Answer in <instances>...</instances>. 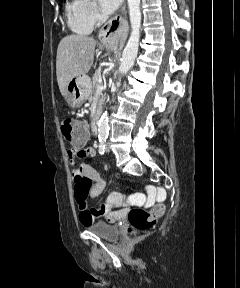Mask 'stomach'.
I'll return each mask as SVG.
<instances>
[{"mask_svg": "<svg viewBox=\"0 0 240 288\" xmlns=\"http://www.w3.org/2000/svg\"><path fill=\"white\" fill-rule=\"evenodd\" d=\"M91 89V79L87 75H82L68 83L63 96L70 108H78L89 98Z\"/></svg>", "mask_w": 240, "mask_h": 288, "instance_id": "stomach-1", "label": "stomach"}]
</instances>
